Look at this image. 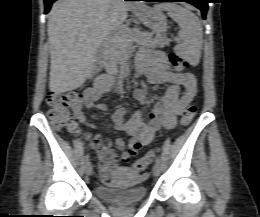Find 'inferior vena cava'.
I'll return each mask as SVG.
<instances>
[{"instance_id":"1","label":"inferior vena cava","mask_w":260,"mask_h":217,"mask_svg":"<svg viewBox=\"0 0 260 217\" xmlns=\"http://www.w3.org/2000/svg\"><path fill=\"white\" fill-rule=\"evenodd\" d=\"M120 2H121V0H110V4L114 8H116Z\"/></svg>"}]
</instances>
